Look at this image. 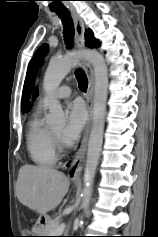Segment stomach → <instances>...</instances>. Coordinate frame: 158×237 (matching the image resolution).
I'll list each match as a JSON object with an SVG mask.
<instances>
[{
  "label": "stomach",
  "instance_id": "1",
  "mask_svg": "<svg viewBox=\"0 0 158 237\" xmlns=\"http://www.w3.org/2000/svg\"><path fill=\"white\" fill-rule=\"evenodd\" d=\"M36 230H38V232H37L38 234L35 236H44L43 235L44 231H42L41 227H37Z\"/></svg>",
  "mask_w": 158,
  "mask_h": 237
}]
</instances>
